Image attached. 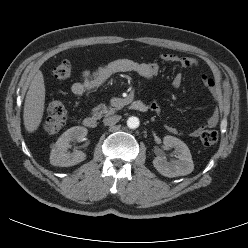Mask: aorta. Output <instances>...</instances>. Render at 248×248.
Instances as JSON below:
<instances>
[{"label":"aorta","mask_w":248,"mask_h":248,"mask_svg":"<svg viewBox=\"0 0 248 248\" xmlns=\"http://www.w3.org/2000/svg\"><path fill=\"white\" fill-rule=\"evenodd\" d=\"M139 124H140V121L137 117H129L128 120H127V126L130 128V129H136L139 127Z\"/></svg>","instance_id":"1"}]
</instances>
